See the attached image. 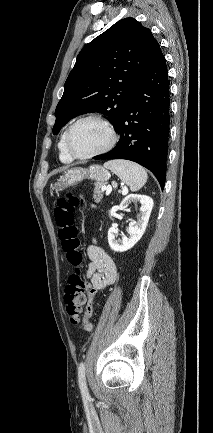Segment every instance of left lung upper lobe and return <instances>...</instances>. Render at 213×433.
Instances as JSON below:
<instances>
[{"instance_id":"1","label":"left lung upper lobe","mask_w":213,"mask_h":433,"mask_svg":"<svg viewBox=\"0 0 213 433\" xmlns=\"http://www.w3.org/2000/svg\"><path fill=\"white\" fill-rule=\"evenodd\" d=\"M159 50L150 29L134 18L118 21L87 44L65 82L53 134L72 118L91 112L107 115L116 130L130 96Z\"/></svg>"}]
</instances>
